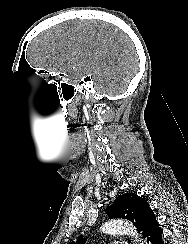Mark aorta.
<instances>
[{
	"instance_id": "762f6f07",
	"label": "aorta",
	"mask_w": 188,
	"mask_h": 244,
	"mask_svg": "<svg viewBox=\"0 0 188 244\" xmlns=\"http://www.w3.org/2000/svg\"><path fill=\"white\" fill-rule=\"evenodd\" d=\"M102 231L111 235L125 234L131 236L136 241V244L139 241L133 224L126 220L111 219L103 225Z\"/></svg>"
}]
</instances>
